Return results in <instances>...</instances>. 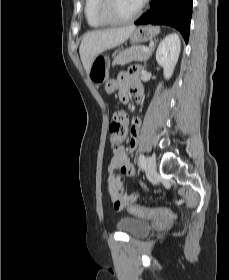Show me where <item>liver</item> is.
Returning a JSON list of instances; mask_svg holds the SVG:
<instances>
[{
	"instance_id": "obj_1",
	"label": "liver",
	"mask_w": 229,
	"mask_h": 280,
	"mask_svg": "<svg viewBox=\"0 0 229 280\" xmlns=\"http://www.w3.org/2000/svg\"><path fill=\"white\" fill-rule=\"evenodd\" d=\"M135 30V26L90 31L84 34L79 53L85 71L88 73L95 57L106 50L115 48L124 43Z\"/></svg>"
}]
</instances>
